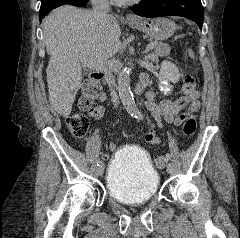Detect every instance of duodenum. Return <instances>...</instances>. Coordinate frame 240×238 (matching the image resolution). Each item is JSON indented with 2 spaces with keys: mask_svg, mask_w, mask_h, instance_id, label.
Here are the masks:
<instances>
[{
  "mask_svg": "<svg viewBox=\"0 0 240 238\" xmlns=\"http://www.w3.org/2000/svg\"><path fill=\"white\" fill-rule=\"evenodd\" d=\"M105 81H106V84L109 86V88H113L115 83H114V79H113V76L110 74V73H106L105 76ZM147 82H148V79L146 76H142L138 85H137V92L138 93H141L143 92V90L145 89L146 85H147Z\"/></svg>",
  "mask_w": 240,
  "mask_h": 238,
  "instance_id": "duodenum-1",
  "label": "duodenum"
}]
</instances>
